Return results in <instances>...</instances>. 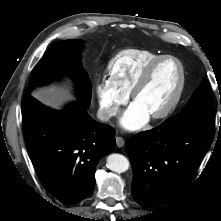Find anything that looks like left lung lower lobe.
Segmentation results:
<instances>
[{
	"label": "left lung lower lobe",
	"mask_w": 221,
	"mask_h": 221,
	"mask_svg": "<svg viewBox=\"0 0 221 221\" xmlns=\"http://www.w3.org/2000/svg\"><path fill=\"white\" fill-rule=\"evenodd\" d=\"M212 131L175 129L165 122L131 137L125 145L133 169L132 195L145 207L170 203L189 186Z\"/></svg>",
	"instance_id": "obj_1"
}]
</instances>
